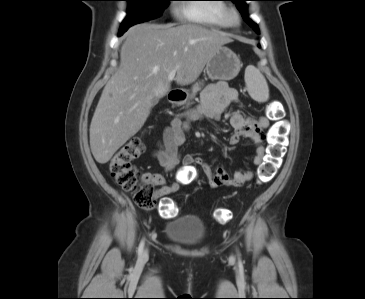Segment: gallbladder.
<instances>
[{"label":"gallbladder","instance_id":"bac80fb5","mask_svg":"<svg viewBox=\"0 0 365 299\" xmlns=\"http://www.w3.org/2000/svg\"><path fill=\"white\" fill-rule=\"evenodd\" d=\"M158 101H159L158 99L154 100L153 105H156L158 103Z\"/></svg>","mask_w":365,"mask_h":299}]
</instances>
